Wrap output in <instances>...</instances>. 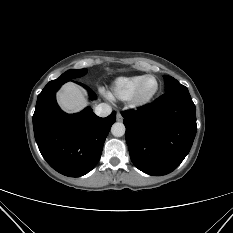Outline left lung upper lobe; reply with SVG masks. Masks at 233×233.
<instances>
[{
    "mask_svg": "<svg viewBox=\"0 0 233 233\" xmlns=\"http://www.w3.org/2000/svg\"><path fill=\"white\" fill-rule=\"evenodd\" d=\"M164 82H165V91L166 92L186 88L184 85L180 84L176 79H174L171 76L165 75Z\"/></svg>",
    "mask_w": 233,
    "mask_h": 233,
    "instance_id": "1",
    "label": "left lung upper lobe"
}]
</instances>
